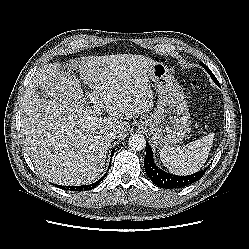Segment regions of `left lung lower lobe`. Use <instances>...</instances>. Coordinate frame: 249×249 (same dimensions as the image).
<instances>
[{
	"instance_id": "0a47b994",
	"label": "left lung lower lobe",
	"mask_w": 249,
	"mask_h": 249,
	"mask_svg": "<svg viewBox=\"0 0 249 249\" xmlns=\"http://www.w3.org/2000/svg\"><path fill=\"white\" fill-rule=\"evenodd\" d=\"M144 167L148 177L153 181V183L166 189L186 187L199 180L207 170L206 168L188 176H178L164 172L155 165L152 148L147 143Z\"/></svg>"
}]
</instances>
